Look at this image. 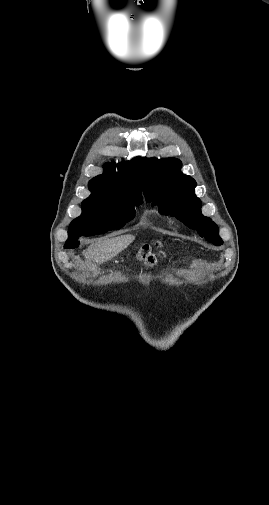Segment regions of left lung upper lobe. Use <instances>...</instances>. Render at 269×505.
Here are the masks:
<instances>
[{
	"mask_svg": "<svg viewBox=\"0 0 269 505\" xmlns=\"http://www.w3.org/2000/svg\"><path fill=\"white\" fill-rule=\"evenodd\" d=\"M143 192L147 202L158 205L163 215L175 216L189 228L197 230L214 245L223 241L217 225L201 214V201L196 197V182L180 172L181 162L175 158H143Z\"/></svg>",
	"mask_w": 269,
	"mask_h": 505,
	"instance_id": "left-lung-upper-lobe-1",
	"label": "left lung upper lobe"
}]
</instances>
